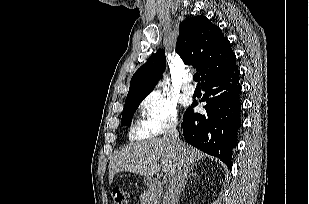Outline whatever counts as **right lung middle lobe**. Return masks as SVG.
I'll return each mask as SVG.
<instances>
[{
	"label": "right lung middle lobe",
	"instance_id": "obj_1",
	"mask_svg": "<svg viewBox=\"0 0 309 204\" xmlns=\"http://www.w3.org/2000/svg\"><path fill=\"white\" fill-rule=\"evenodd\" d=\"M144 98L127 100L124 105L121 126H129L134 112Z\"/></svg>",
	"mask_w": 309,
	"mask_h": 204
}]
</instances>
